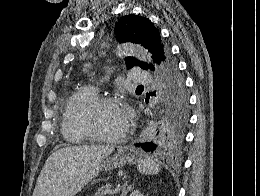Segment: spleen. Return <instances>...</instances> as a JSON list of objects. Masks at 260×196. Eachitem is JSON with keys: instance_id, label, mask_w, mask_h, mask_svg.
<instances>
[{"instance_id": "3e777b00", "label": "spleen", "mask_w": 260, "mask_h": 196, "mask_svg": "<svg viewBox=\"0 0 260 196\" xmlns=\"http://www.w3.org/2000/svg\"><path fill=\"white\" fill-rule=\"evenodd\" d=\"M159 160H152V158H139L138 160V170L140 174H145V176H154L160 172Z\"/></svg>"}]
</instances>
